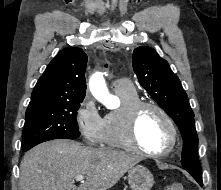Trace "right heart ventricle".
Instances as JSON below:
<instances>
[{
	"label": "right heart ventricle",
	"instance_id": "1",
	"mask_svg": "<svg viewBox=\"0 0 221 190\" xmlns=\"http://www.w3.org/2000/svg\"><path fill=\"white\" fill-rule=\"evenodd\" d=\"M120 99V106L105 115L103 145L111 149L130 150L123 136L124 113L128 106L140 101L139 94L134 86L114 88Z\"/></svg>",
	"mask_w": 221,
	"mask_h": 190
}]
</instances>
